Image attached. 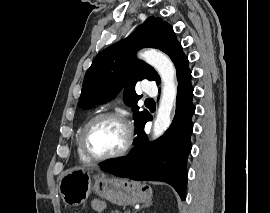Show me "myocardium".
<instances>
[{
    "label": "myocardium",
    "instance_id": "1",
    "mask_svg": "<svg viewBox=\"0 0 270 213\" xmlns=\"http://www.w3.org/2000/svg\"><path fill=\"white\" fill-rule=\"evenodd\" d=\"M115 119L120 121L126 128V141L123 147L111 154L105 155V156H96L92 154L87 146V135L91 127L99 120L101 119ZM133 143V127L132 124L129 122V120L121 113L115 112V111H104L95 114L92 116L83 126L82 131H81V136H80V145H81V150L83 154L87 157L92 162H103V161H108V160H113L120 158L124 156L129 149L131 148Z\"/></svg>",
    "mask_w": 270,
    "mask_h": 213
}]
</instances>
